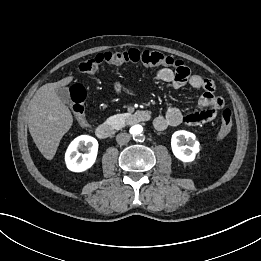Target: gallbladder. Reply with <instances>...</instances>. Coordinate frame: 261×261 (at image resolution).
<instances>
[{
  "instance_id": "1",
  "label": "gallbladder",
  "mask_w": 261,
  "mask_h": 261,
  "mask_svg": "<svg viewBox=\"0 0 261 261\" xmlns=\"http://www.w3.org/2000/svg\"><path fill=\"white\" fill-rule=\"evenodd\" d=\"M56 95L58 96V98L65 104H69L70 103V92L68 90V88L63 87V88H58L55 90Z\"/></svg>"
}]
</instances>
